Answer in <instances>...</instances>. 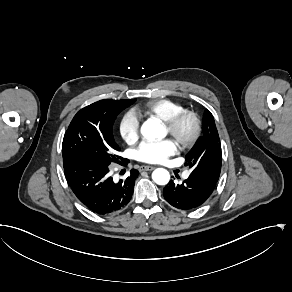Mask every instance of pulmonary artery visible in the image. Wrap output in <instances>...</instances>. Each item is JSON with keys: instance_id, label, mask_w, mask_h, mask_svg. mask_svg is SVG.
Returning a JSON list of instances; mask_svg holds the SVG:
<instances>
[{"instance_id": "obj_1", "label": "pulmonary artery", "mask_w": 292, "mask_h": 292, "mask_svg": "<svg viewBox=\"0 0 292 292\" xmlns=\"http://www.w3.org/2000/svg\"><path fill=\"white\" fill-rule=\"evenodd\" d=\"M190 173H191V171H186L185 173H184V177H188L189 175H190Z\"/></svg>"}]
</instances>
